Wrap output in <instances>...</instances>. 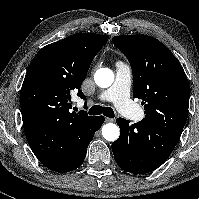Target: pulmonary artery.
<instances>
[{"label": "pulmonary artery", "mask_w": 199, "mask_h": 199, "mask_svg": "<svg viewBox=\"0 0 199 199\" xmlns=\"http://www.w3.org/2000/svg\"><path fill=\"white\" fill-rule=\"evenodd\" d=\"M131 82V67L127 63L117 62L114 84L104 91L99 99L112 102L126 116L137 119L139 118V109L131 100Z\"/></svg>", "instance_id": "1"}]
</instances>
